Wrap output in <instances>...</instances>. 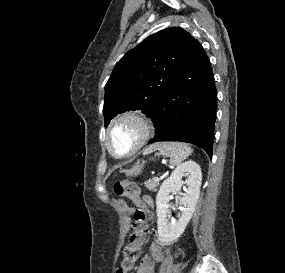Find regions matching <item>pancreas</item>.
I'll use <instances>...</instances> for the list:
<instances>
[{
  "instance_id": "pancreas-1",
  "label": "pancreas",
  "mask_w": 285,
  "mask_h": 273,
  "mask_svg": "<svg viewBox=\"0 0 285 273\" xmlns=\"http://www.w3.org/2000/svg\"><path fill=\"white\" fill-rule=\"evenodd\" d=\"M145 186L148 190L156 192L157 190L156 187L159 186V180H155V179L148 180L145 182Z\"/></svg>"
}]
</instances>
